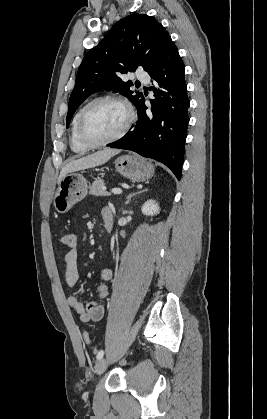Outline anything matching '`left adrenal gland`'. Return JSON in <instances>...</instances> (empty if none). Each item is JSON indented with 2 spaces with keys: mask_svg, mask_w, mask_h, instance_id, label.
<instances>
[{
  "mask_svg": "<svg viewBox=\"0 0 267 419\" xmlns=\"http://www.w3.org/2000/svg\"><path fill=\"white\" fill-rule=\"evenodd\" d=\"M146 190H142V191H139V192H136V193H133V194H129L127 197H126V201H125V204H129V202L131 201V198L133 197V196H135V195H137V194H141L142 192H145Z\"/></svg>",
  "mask_w": 267,
  "mask_h": 419,
  "instance_id": "left-adrenal-gland-1",
  "label": "left adrenal gland"
}]
</instances>
